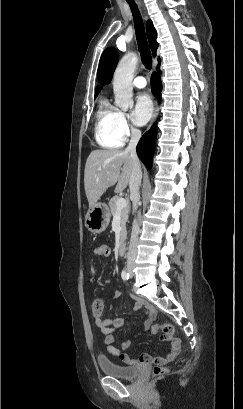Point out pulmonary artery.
Segmentation results:
<instances>
[{"instance_id": "e3ab8cb5", "label": "pulmonary artery", "mask_w": 243, "mask_h": 409, "mask_svg": "<svg viewBox=\"0 0 243 409\" xmlns=\"http://www.w3.org/2000/svg\"><path fill=\"white\" fill-rule=\"evenodd\" d=\"M133 85L136 88H145L147 85V81L145 79L144 76H137L134 80H133Z\"/></svg>"}]
</instances>
